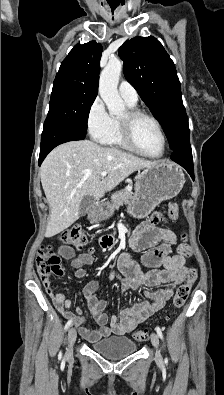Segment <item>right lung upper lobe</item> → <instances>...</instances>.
Segmentation results:
<instances>
[{"mask_svg":"<svg viewBox=\"0 0 224 395\" xmlns=\"http://www.w3.org/2000/svg\"><path fill=\"white\" fill-rule=\"evenodd\" d=\"M101 44H76L61 63L55 82L80 86L98 92Z\"/></svg>","mask_w":224,"mask_h":395,"instance_id":"obj_1","label":"right lung upper lobe"}]
</instances>
